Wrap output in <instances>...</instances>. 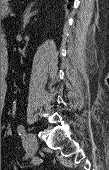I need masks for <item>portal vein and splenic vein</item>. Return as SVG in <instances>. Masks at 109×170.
<instances>
[{"instance_id": "1", "label": "portal vein and splenic vein", "mask_w": 109, "mask_h": 170, "mask_svg": "<svg viewBox=\"0 0 109 170\" xmlns=\"http://www.w3.org/2000/svg\"><path fill=\"white\" fill-rule=\"evenodd\" d=\"M10 16H11V17L15 16V13H11Z\"/></svg>"}]
</instances>
